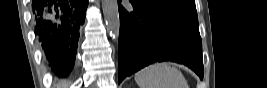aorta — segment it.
<instances>
[{
  "label": "aorta",
  "mask_w": 267,
  "mask_h": 88,
  "mask_svg": "<svg viewBox=\"0 0 267 88\" xmlns=\"http://www.w3.org/2000/svg\"><path fill=\"white\" fill-rule=\"evenodd\" d=\"M104 19L109 34L118 40L120 19L117 0H102Z\"/></svg>",
  "instance_id": "aorta-1"
}]
</instances>
